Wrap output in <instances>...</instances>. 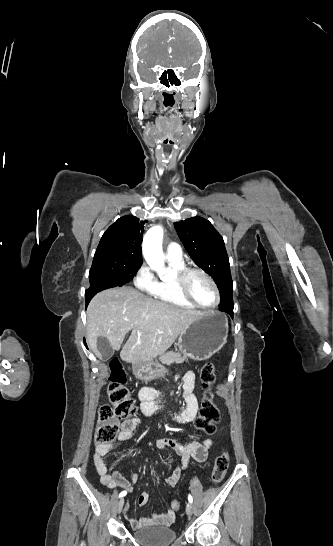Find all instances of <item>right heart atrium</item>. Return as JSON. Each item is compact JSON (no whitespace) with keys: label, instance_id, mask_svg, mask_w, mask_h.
Instances as JSON below:
<instances>
[{"label":"right heart atrium","instance_id":"1","mask_svg":"<svg viewBox=\"0 0 333 546\" xmlns=\"http://www.w3.org/2000/svg\"><path fill=\"white\" fill-rule=\"evenodd\" d=\"M134 285L137 289L150 295H155L158 290V281L152 271L147 265L143 264L136 272L134 276Z\"/></svg>","mask_w":333,"mask_h":546}]
</instances>
